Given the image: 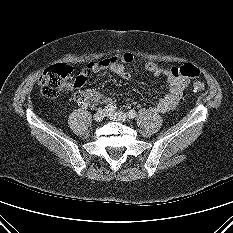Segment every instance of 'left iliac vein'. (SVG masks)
<instances>
[{
  "label": "left iliac vein",
  "instance_id": "1",
  "mask_svg": "<svg viewBox=\"0 0 233 233\" xmlns=\"http://www.w3.org/2000/svg\"><path fill=\"white\" fill-rule=\"evenodd\" d=\"M108 117L114 121H118L121 123H124L128 120L126 113H124L122 111H118L115 113H109Z\"/></svg>",
  "mask_w": 233,
  "mask_h": 233
}]
</instances>
